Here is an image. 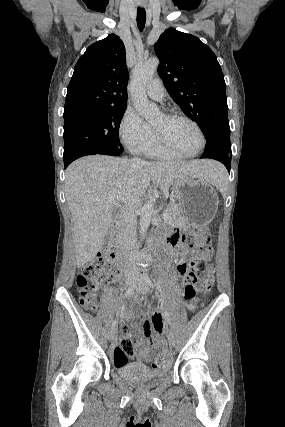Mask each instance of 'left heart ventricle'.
<instances>
[{
  "instance_id": "obj_1",
  "label": "left heart ventricle",
  "mask_w": 285,
  "mask_h": 427,
  "mask_svg": "<svg viewBox=\"0 0 285 427\" xmlns=\"http://www.w3.org/2000/svg\"><path fill=\"white\" fill-rule=\"evenodd\" d=\"M153 127L183 152L193 153L200 146L197 130L186 121L169 119L160 114L153 122Z\"/></svg>"
}]
</instances>
